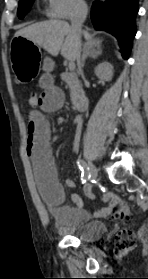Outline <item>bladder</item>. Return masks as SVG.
I'll list each match as a JSON object with an SVG mask.
<instances>
[{
  "label": "bladder",
  "mask_w": 148,
  "mask_h": 279,
  "mask_svg": "<svg viewBox=\"0 0 148 279\" xmlns=\"http://www.w3.org/2000/svg\"><path fill=\"white\" fill-rule=\"evenodd\" d=\"M106 225L101 221H90L76 225L57 224L61 234L84 242H93L101 239L106 233Z\"/></svg>",
  "instance_id": "31cf9c89"
}]
</instances>
